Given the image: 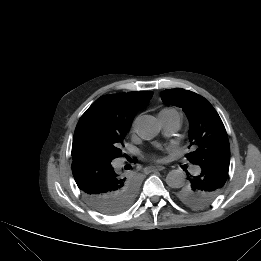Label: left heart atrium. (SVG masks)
<instances>
[{
  "instance_id": "1",
  "label": "left heart atrium",
  "mask_w": 261,
  "mask_h": 261,
  "mask_svg": "<svg viewBox=\"0 0 261 261\" xmlns=\"http://www.w3.org/2000/svg\"><path fill=\"white\" fill-rule=\"evenodd\" d=\"M152 158H153L154 160L158 161V162L164 161V158H162V157H160V156H157V155H154Z\"/></svg>"
}]
</instances>
